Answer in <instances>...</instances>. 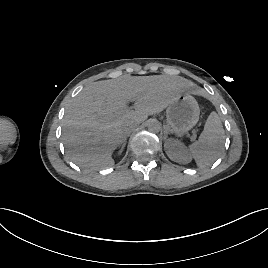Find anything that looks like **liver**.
Masks as SVG:
<instances>
[{
	"label": "liver",
	"mask_w": 268,
	"mask_h": 268,
	"mask_svg": "<svg viewBox=\"0 0 268 268\" xmlns=\"http://www.w3.org/2000/svg\"><path fill=\"white\" fill-rule=\"evenodd\" d=\"M192 86L182 77L166 75H123L87 85L63 118L62 139L70 159L85 169L111 167L113 151L125 136L123 126H138ZM131 99L135 110L122 113Z\"/></svg>",
	"instance_id": "liver-1"
}]
</instances>
